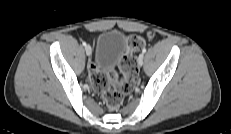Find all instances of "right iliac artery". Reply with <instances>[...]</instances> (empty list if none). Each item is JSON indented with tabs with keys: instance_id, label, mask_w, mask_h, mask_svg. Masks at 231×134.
<instances>
[{
	"instance_id": "obj_1",
	"label": "right iliac artery",
	"mask_w": 231,
	"mask_h": 134,
	"mask_svg": "<svg viewBox=\"0 0 231 134\" xmlns=\"http://www.w3.org/2000/svg\"><path fill=\"white\" fill-rule=\"evenodd\" d=\"M82 44H83V46H86V42H83Z\"/></svg>"
}]
</instances>
